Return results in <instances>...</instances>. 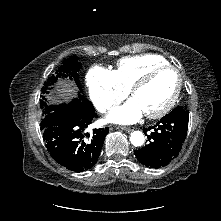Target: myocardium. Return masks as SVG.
Here are the masks:
<instances>
[{"label":"myocardium","mask_w":221,"mask_h":221,"mask_svg":"<svg viewBox=\"0 0 221 221\" xmlns=\"http://www.w3.org/2000/svg\"><path fill=\"white\" fill-rule=\"evenodd\" d=\"M164 70H172L177 74V78H178L177 86H176L174 94L172 95L171 99L167 102V104L165 106H163L158 111L151 112V113H145V116L149 119H158V118H161V117L165 116L176 105V103L179 99L181 90H182V85H183V77H182V74H181L180 70L177 67H175L173 65H170V64H165V65H159V66L152 67L149 70H147L133 84V86L130 89V94L132 96H134L135 93L139 89H141L142 87L147 85L157 73H159L161 71H164Z\"/></svg>","instance_id":"f54148a6"}]
</instances>
